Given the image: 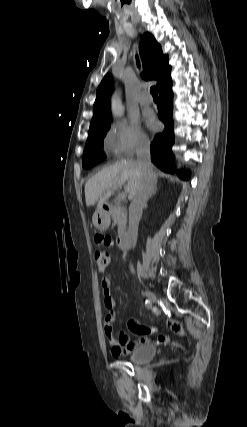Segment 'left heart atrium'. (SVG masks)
<instances>
[{"label": "left heart atrium", "instance_id": "1", "mask_svg": "<svg viewBox=\"0 0 247 427\" xmlns=\"http://www.w3.org/2000/svg\"><path fill=\"white\" fill-rule=\"evenodd\" d=\"M148 125H149V127H150V128H152V129H157V128H158V123H157V121H156L155 119H153V118H150V119L148 120Z\"/></svg>", "mask_w": 247, "mask_h": 427}]
</instances>
